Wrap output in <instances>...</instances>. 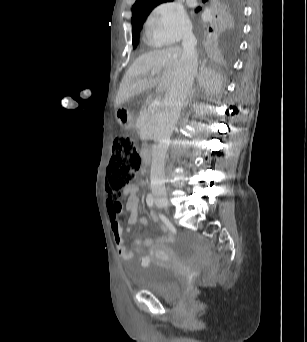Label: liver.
Here are the masks:
<instances>
[{
  "label": "liver",
  "instance_id": "liver-1",
  "mask_svg": "<svg viewBox=\"0 0 307 342\" xmlns=\"http://www.w3.org/2000/svg\"><path fill=\"white\" fill-rule=\"evenodd\" d=\"M181 56L182 50L178 46L141 54L122 78L116 96V106H120L123 102L130 100L132 96L142 94L145 90L155 88V86H158V92L168 90L175 80ZM149 72L157 74V78L148 76ZM159 74H162L161 78ZM197 80L200 88H204L207 94H216L217 96L222 90L224 78L221 74H216L214 70L205 68L204 64H201Z\"/></svg>",
  "mask_w": 307,
  "mask_h": 342
}]
</instances>
